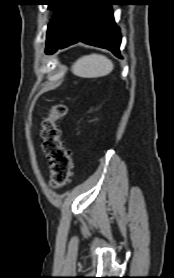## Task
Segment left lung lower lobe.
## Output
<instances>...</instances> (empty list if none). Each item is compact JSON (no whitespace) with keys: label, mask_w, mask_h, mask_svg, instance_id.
Wrapping results in <instances>:
<instances>
[{"label":"left lung lower lobe","mask_w":174,"mask_h":278,"mask_svg":"<svg viewBox=\"0 0 174 278\" xmlns=\"http://www.w3.org/2000/svg\"><path fill=\"white\" fill-rule=\"evenodd\" d=\"M116 0H78L65 36L46 54L79 41L108 49L119 58L121 35L111 5Z\"/></svg>","instance_id":"1"}]
</instances>
